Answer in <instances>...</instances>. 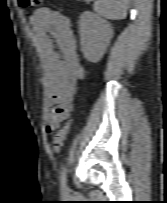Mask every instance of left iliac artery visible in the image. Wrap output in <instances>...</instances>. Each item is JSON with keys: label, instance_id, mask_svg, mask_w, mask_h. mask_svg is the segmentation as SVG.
Segmentation results:
<instances>
[{"label": "left iliac artery", "instance_id": "left-iliac-artery-1", "mask_svg": "<svg viewBox=\"0 0 167 203\" xmlns=\"http://www.w3.org/2000/svg\"><path fill=\"white\" fill-rule=\"evenodd\" d=\"M61 187L63 190H67L66 186V168L63 169L62 175H61Z\"/></svg>", "mask_w": 167, "mask_h": 203}]
</instances>
